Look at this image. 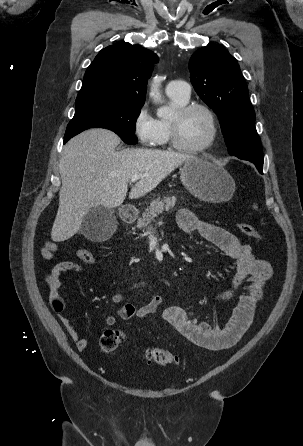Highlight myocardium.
I'll return each instance as SVG.
<instances>
[{
	"instance_id": "1",
	"label": "myocardium",
	"mask_w": 303,
	"mask_h": 446,
	"mask_svg": "<svg viewBox=\"0 0 303 446\" xmlns=\"http://www.w3.org/2000/svg\"><path fill=\"white\" fill-rule=\"evenodd\" d=\"M195 110H201L207 115L211 127V133L208 140L205 143H203L200 146L191 147L184 145L180 141L179 123L183 117H185L186 115ZM217 136H218V123L216 116L213 110L209 106L203 103H197V102L187 103L181 107H178L175 112V116L169 119V143L173 148H175L178 151L191 154L204 152L208 150L215 143Z\"/></svg>"
}]
</instances>
